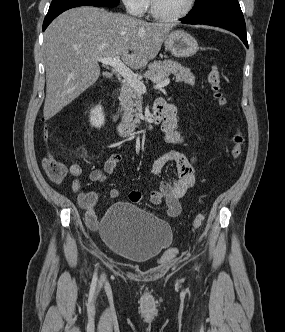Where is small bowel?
<instances>
[{
	"instance_id": "1",
	"label": "small bowel",
	"mask_w": 285,
	"mask_h": 332,
	"mask_svg": "<svg viewBox=\"0 0 285 332\" xmlns=\"http://www.w3.org/2000/svg\"><path fill=\"white\" fill-rule=\"evenodd\" d=\"M162 131L165 134L166 142L174 145H179L183 142V137L177 130L175 110L170 105L166 119L162 123ZM121 160V155H111L105 161L103 168L94 169L90 172L89 179L96 183L105 182L107 178L113 174ZM168 164H172L175 168L176 181L169 182L161 180L158 187L150 192L149 201L153 205H161L164 203L167 207V214L170 217H177L181 212L180 199L195 184V158L187 157L180 151L173 149L156 158L152 163L151 171L154 175L160 176ZM69 171L73 178L71 188L78 194L77 204L85 211L86 224L89 228L96 229L99 225V217L94 210L97 195L94 192H83V182L80 178L82 168L80 165L72 164ZM120 195L121 192L119 189L113 188L110 190V197L112 199H116L120 197ZM141 199L142 195L139 191L133 190L129 193V200L132 203H139Z\"/></svg>"
}]
</instances>
